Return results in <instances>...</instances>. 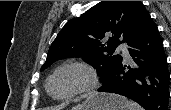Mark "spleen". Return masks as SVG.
Masks as SVG:
<instances>
[{"label": "spleen", "mask_w": 171, "mask_h": 110, "mask_svg": "<svg viewBox=\"0 0 171 110\" xmlns=\"http://www.w3.org/2000/svg\"><path fill=\"white\" fill-rule=\"evenodd\" d=\"M124 105L126 110H142V107L133 101L125 100Z\"/></svg>", "instance_id": "1"}]
</instances>
